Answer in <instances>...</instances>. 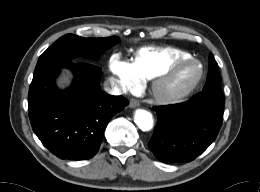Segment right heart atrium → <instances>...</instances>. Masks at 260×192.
<instances>
[{
    "label": "right heart atrium",
    "mask_w": 260,
    "mask_h": 192,
    "mask_svg": "<svg viewBox=\"0 0 260 192\" xmlns=\"http://www.w3.org/2000/svg\"><path fill=\"white\" fill-rule=\"evenodd\" d=\"M109 68L121 88L133 90L141 85V79L137 75L133 64L121 59L119 56L113 55L110 58Z\"/></svg>",
    "instance_id": "1"
}]
</instances>
